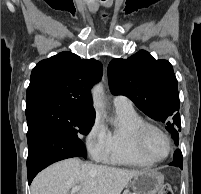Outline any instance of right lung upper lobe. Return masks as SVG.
I'll return each instance as SVG.
<instances>
[{"mask_svg": "<svg viewBox=\"0 0 201 194\" xmlns=\"http://www.w3.org/2000/svg\"><path fill=\"white\" fill-rule=\"evenodd\" d=\"M102 72V64L95 59L61 52L33 68L26 104L53 99L65 102L79 113L95 116L90 90Z\"/></svg>", "mask_w": 201, "mask_h": 194, "instance_id": "cb5924a9", "label": "right lung upper lobe"}]
</instances>
